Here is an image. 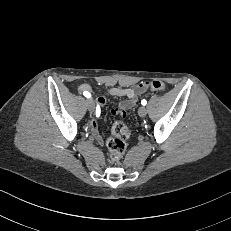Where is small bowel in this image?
Segmentation results:
<instances>
[{"instance_id":"obj_1","label":"small bowel","mask_w":231,"mask_h":231,"mask_svg":"<svg viewBox=\"0 0 231 231\" xmlns=\"http://www.w3.org/2000/svg\"><path fill=\"white\" fill-rule=\"evenodd\" d=\"M144 88H145L144 84L136 85L133 88H129V87L109 88L106 92L107 95L113 96V97H123L124 98V100L119 104L118 108L113 109L111 113L113 115L125 116L126 110L130 109L131 107L135 105L137 94L141 92ZM78 90L81 92L82 91L91 92L92 88L89 84L83 83L78 87ZM105 101L106 99L104 96H98L96 98L97 107L100 108L101 106H103L105 104ZM96 117L98 116L96 115ZM89 126H90V130H91L93 137L96 139L97 142L102 144L104 140L99 133L97 121L95 118L90 120Z\"/></svg>"}]
</instances>
